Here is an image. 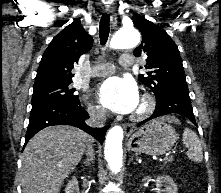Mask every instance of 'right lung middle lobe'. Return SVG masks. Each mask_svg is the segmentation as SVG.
Instances as JSON below:
<instances>
[{
  "label": "right lung middle lobe",
  "mask_w": 221,
  "mask_h": 193,
  "mask_svg": "<svg viewBox=\"0 0 221 193\" xmlns=\"http://www.w3.org/2000/svg\"><path fill=\"white\" fill-rule=\"evenodd\" d=\"M72 81L52 82L34 85L32 105L51 101L78 102L79 96L75 95V89L70 87Z\"/></svg>",
  "instance_id": "1"
}]
</instances>
